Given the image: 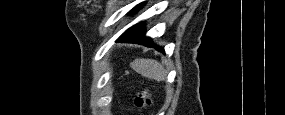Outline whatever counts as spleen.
I'll return each mask as SVG.
<instances>
[{
    "mask_svg": "<svg viewBox=\"0 0 285 115\" xmlns=\"http://www.w3.org/2000/svg\"><path fill=\"white\" fill-rule=\"evenodd\" d=\"M131 67L142 76L156 81H164L167 72L162 64L152 59H136Z\"/></svg>",
    "mask_w": 285,
    "mask_h": 115,
    "instance_id": "1",
    "label": "spleen"
}]
</instances>
